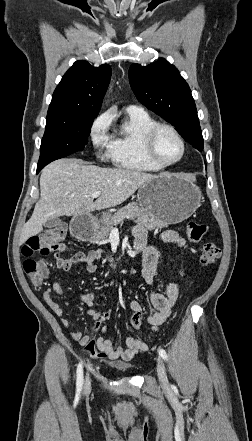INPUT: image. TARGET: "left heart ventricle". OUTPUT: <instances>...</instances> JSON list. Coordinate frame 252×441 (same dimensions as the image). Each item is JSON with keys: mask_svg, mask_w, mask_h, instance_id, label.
I'll return each instance as SVG.
<instances>
[{"mask_svg": "<svg viewBox=\"0 0 252 441\" xmlns=\"http://www.w3.org/2000/svg\"><path fill=\"white\" fill-rule=\"evenodd\" d=\"M181 145L169 131H161L155 141V151L163 162H171L181 154Z\"/></svg>", "mask_w": 252, "mask_h": 441, "instance_id": "obj_1", "label": "left heart ventricle"}]
</instances>
